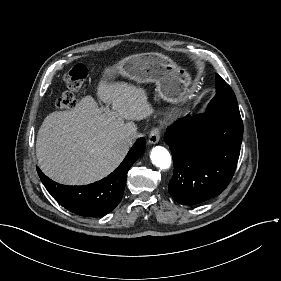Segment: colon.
<instances>
[{"label": "colon", "mask_w": 281, "mask_h": 281, "mask_svg": "<svg viewBox=\"0 0 281 281\" xmlns=\"http://www.w3.org/2000/svg\"><path fill=\"white\" fill-rule=\"evenodd\" d=\"M89 71L85 64L78 63L65 71L64 84L70 89H77L85 82ZM58 108L61 111L71 110L76 106V98L71 90L62 92L57 99Z\"/></svg>", "instance_id": "obj_1"}]
</instances>
